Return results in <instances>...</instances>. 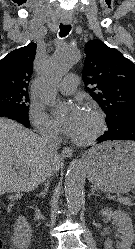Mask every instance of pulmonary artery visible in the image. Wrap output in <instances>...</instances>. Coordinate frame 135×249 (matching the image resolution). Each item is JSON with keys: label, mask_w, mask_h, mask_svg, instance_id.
I'll use <instances>...</instances> for the list:
<instances>
[{"label": "pulmonary artery", "mask_w": 135, "mask_h": 249, "mask_svg": "<svg viewBox=\"0 0 135 249\" xmlns=\"http://www.w3.org/2000/svg\"><path fill=\"white\" fill-rule=\"evenodd\" d=\"M79 83V78L76 74L67 75L63 81L58 85V90L64 95L73 94Z\"/></svg>", "instance_id": "e3ab8cb5"}]
</instances>
